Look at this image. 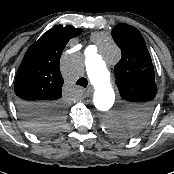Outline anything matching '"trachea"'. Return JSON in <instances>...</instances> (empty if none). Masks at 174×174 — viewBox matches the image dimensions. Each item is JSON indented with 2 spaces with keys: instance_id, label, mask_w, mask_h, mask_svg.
<instances>
[{
  "instance_id": "1",
  "label": "trachea",
  "mask_w": 174,
  "mask_h": 174,
  "mask_svg": "<svg viewBox=\"0 0 174 174\" xmlns=\"http://www.w3.org/2000/svg\"><path fill=\"white\" fill-rule=\"evenodd\" d=\"M76 84L86 88L88 85V81L86 78L82 77L77 80Z\"/></svg>"
}]
</instances>
